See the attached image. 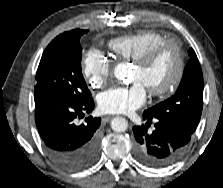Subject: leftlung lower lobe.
Segmentation results:
<instances>
[{
    "instance_id": "0a47b994",
    "label": "left lung lower lobe",
    "mask_w": 223,
    "mask_h": 188,
    "mask_svg": "<svg viewBox=\"0 0 223 188\" xmlns=\"http://www.w3.org/2000/svg\"><path fill=\"white\" fill-rule=\"evenodd\" d=\"M146 125L134 126L135 157L145 166L163 168L178 161L186 152L191 134L165 121L143 113ZM152 120L154 130H148Z\"/></svg>"
}]
</instances>
